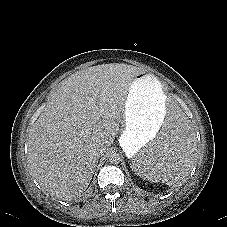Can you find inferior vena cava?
I'll use <instances>...</instances> for the list:
<instances>
[{
    "mask_svg": "<svg viewBox=\"0 0 227 227\" xmlns=\"http://www.w3.org/2000/svg\"><path fill=\"white\" fill-rule=\"evenodd\" d=\"M106 148H107V146L104 143H101V144L95 146L94 155L96 157L102 156L104 154V152L106 151Z\"/></svg>",
    "mask_w": 227,
    "mask_h": 227,
    "instance_id": "obj_1",
    "label": "inferior vena cava"
}]
</instances>
